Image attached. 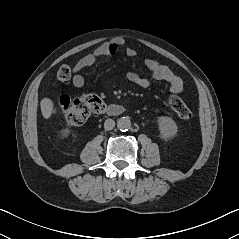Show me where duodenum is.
<instances>
[{"mask_svg": "<svg viewBox=\"0 0 239 239\" xmlns=\"http://www.w3.org/2000/svg\"><path fill=\"white\" fill-rule=\"evenodd\" d=\"M104 111L110 115H118L123 113L124 108L120 105L112 104V105L105 106Z\"/></svg>", "mask_w": 239, "mask_h": 239, "instance_id": "duodenum-1", "label": "duodenum"}]
</instances>
